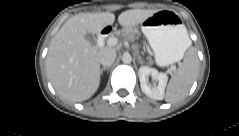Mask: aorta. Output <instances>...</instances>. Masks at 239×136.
<instances>
[{
  "mask_svg": "<svg viewBox=\"0 0 239 136\" xmlns=\"http://www.w3.org/2000/svg\"><path fill=\"white\" fill-rule=\"evenodd\" d=\"M132 61V56L129 53H124L122 56V62L125 64H129Z\"/></svg>",
  "mask_w": 239,
  "mask_h": 136,
  "instance_id": "aorta-1",
  "label": "aorta"
}]
</instances>
